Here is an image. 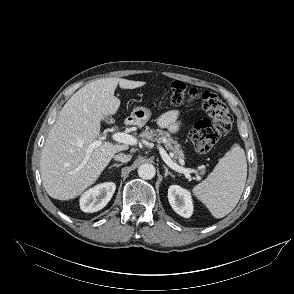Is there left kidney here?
<instances>
[{
	"label": "left kidney",
	"mask_w": 294,
	"mask_h": 294,
	"mask_svg": "<svg viewBox=\"0 0 294 294\" xmlns=\"http://www.w3.org/2000/svg\"><path fill=\"white\" fill-rule=\"evenodd\" d=\"M168 200L172 209L180 216L189 218L193 214L192 196L188 190L171 185L168 189Z\"/></svg>",
	"instance_id": "5707ae66"
}]
</instances>
